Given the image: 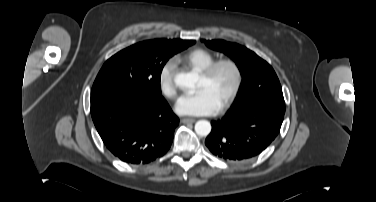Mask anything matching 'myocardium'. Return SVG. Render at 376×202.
Returning a JSON list of instances; mask_svg holds the SVG:
<instances>
[{"instance_id":"obj_1","label":"myocardium","mask_w":376,"mask_h":202,"mask_svg":"<svg viewBox=\"0 0 376 202\" xmlns=\"http://www.w3.org/2000/svg\"><path fill=\"white\" fill-rule=\"evenodd\" d=\"M224 66L229 67L232 70L234 74V83L229 94L220 105L219 109L221 111L227 109L233 103L242 87L244 76L241 66L232 58H223L212 62L208 67L200 72V75L203 78L210 80L216 74V72Z\"/></svg>"}]
</instances>
